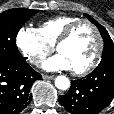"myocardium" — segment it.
<instances>
[{"label":"myocardium","mask_w":114,"mask_h":114,"mask_svg":"<svg viewBox=\"0 0 114 114\" xmlns=\"http://www.w3.org/2000/svg\"><path fill=\"white\" fill-rule=\"evenodd\" d=\"M83 24L88 25L94 31L96 38H97V48H96L94 57L85 67L80 68V69H72L73 73L78 76H82V75H86V74L90 73L99 64V61L101 59L102 52L104 49V40H103L102 34H101L100 30L98 29V27L90 20L79 19V20L71 23L62 32V34L59 36V38L57 39V41L55 43V49L58 51L60 45H62L64 42L68 41L72 37L75 30Z\"/></svg>","instance_id":"f54148a6"}]
</instances>
